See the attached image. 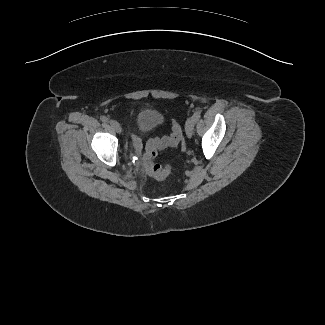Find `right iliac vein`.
Segmentation results:
<instances>
[{
    "instance_id": "obj_1",
    "label": "right iliac vein",
    "mask_w": 325,
    "mask_h": 325,
    "mask_svg": "<svg viewBox=\"0 0 325 325\" xmlns=\"http://www.w3.org/2000/svg\"><path fill=\"white\" fill-rule=\"evenodd\" d=\"M110 126L117 132V133H121L122 132V128L120 126V124L115 121V120H110L109 121Z\"/></svg>"
}]
</instances>
